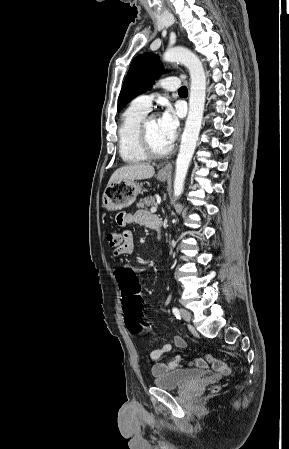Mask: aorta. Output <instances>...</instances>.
<instances>
[{
	"label": "aorta",
	"mask_w": 289,
	"mask_h": 449,
	"mask_svg": "<svg viewBox=\"0 0 289 449\" xmlns=\"http://www.w3.org/2000/svg\"><path fill=\"white\" fill-rule=\"evenodd\" d=\"M163 59L166 62H180L185 65L191 79L189 112L176 159L174 196L179 197L184 189L185 178L201 129L206 97V75L200 59L186 48L168 49Z\"/></svg>",
	"instance_id": "762f6f07"
}]
</instances>
